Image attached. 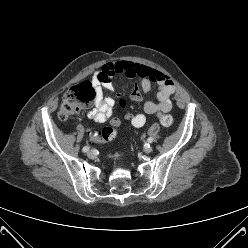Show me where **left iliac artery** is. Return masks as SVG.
I'll return each instance as SVG.
<instances>
[{
	"instance_id": "left-iliac-artery-1",
	"label": "left iliac artery",
	"mask_w": 248,
	"mask_h": 248,
	"mask_svg": "<svg viewBox=\"0 0 248 248\" xmlns=\"http://www.w3.org/2000/svg\"><path fill=\"white\" fill-rule=\"evenodd\" d=\"M152 142H153V138L152 137L148 138L147 142H146V146L150 147V143H152Z\"/></svg>"
}]
</instances>
